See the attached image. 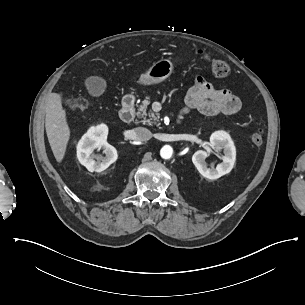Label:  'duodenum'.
<instances>
[{"label": "duodenum", "mask_w": 305, "mask_h": 305, "mask_svg": "<svg viewBox=\"0 0 305 305\" xmlns=\"http://www.w3.org/2000/svg\"><path fill=\"white\" fill-rule=\"evenodd\" d=\"M120 118L124 122H130L135 118V98L132 95H126L121 104ZM181 121V118H178Z\"/></svg>", "instance_id": "duodenum-1"}]
</instances>
